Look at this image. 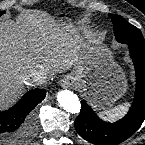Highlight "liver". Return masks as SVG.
I'll return each mask as SVG.
<instances>
[{
    "label": "liver",
    "instance_id": "obj_1",
    "mask_svg": "<svg viewBox=\"0 0 145 145\" xmlns=\"http://www.w3.org/2000/svg\"><path fill=\"white\" fill-rule=\"evenodd\" d=\"M67 29L41 11L21 14L16 23H0V104L19 92L31 73L66 70L78 63L80 47Z\"/></svg>",
    "mask_w": 145,
    "mask_h": 145
}]
</instances>
